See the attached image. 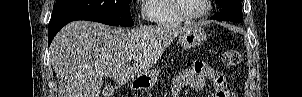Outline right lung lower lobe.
<instances>
[{
    "label": "right lung lower lobe",
    "mask_w": 302,
    "mask_h": 97,
    "mask_svg": "<svg viewBox=\"0 0 302 97\" xmlns=\"http://www.w3.org/2000/svg\"><path fill=\"white\" fill-rule=\"evenodd\" d=\"M74 20H89V21H96L103 24L111 25V26H119L114 21H110L107 19H103L101 17L96 16H76V17H69L65 19H61L58 21H55L53 23H49V45L52 42L54 36L57 34V32L65 26L67 23L74 21Z\"/></svg>",
    "instance_id": "1"
}]
</instances>
